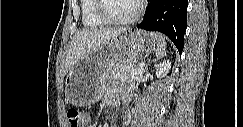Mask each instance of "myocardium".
<instances>
[{
    "label": "myocardium",
    "mask_w": 243,
    "mask_h": 127,
    "mask_svg": "<svg viewBox=\"0 0 243 127\" xmlns=\"http://www.w3.org/2000/svg\"><path fill=\"white\" fill-rule=\"evenodd\" d=\"M105 0H96L98 15L109 24H129L133 23L141 16L143 11V3L140 0L136 1V8L132 15L125 18H116L111 16L105 8Z\"/></svg>",
    "instance_id": "f54148a6"
}]
</instances>
